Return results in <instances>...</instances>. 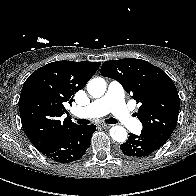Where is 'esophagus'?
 <instances>
[{
	"label": "esophagus",
	"instance_id": "esophagus-1",
	"mask_svg": "<svg viewBox=\"0 0 196 196\" xmlns=\"http://www.w3.org/2000/svg\"><path fill=\"white\" fill-rule=\"evenodd\" d=\"M102 128H110L112 125L111 124H101Z\"/></svg>",
	"mask_w": 196,
	"mask_h": 196
}]
</instances>
